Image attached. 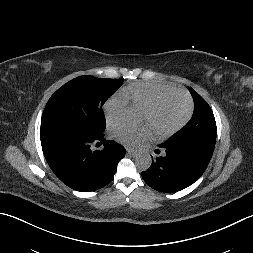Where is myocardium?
<instances>
[{"label": "myocardium", "instance_id": "1", "mask_svg": "<svg viewBox=\"0 0 253 253\" xmlns=\"http://www.w3.org/2000/svg\"><path fill=\"white\" fill-rule=\"evenodd\" d=\"M170 96H177V97L182 98L186 104V112H185L184 117L173 127L165 131L154 130L155 135L158 139H167L173 136L174 134H176L177 132H179L182 128H184L187 125V123L189 122L193 114L194 105H193V101L191 97L187 93L180 90L166 91L159 94L147 106L144 107V110L150 114L153 113L158 108L160 103L165 98L170 97Z\"/></svg>", "mask_w": 253, "mask_h": 253}]
</instances>
